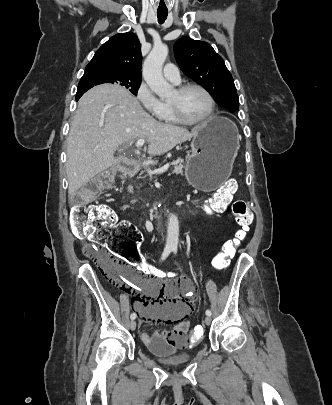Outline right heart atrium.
<instances>
[{"label":"right heart atrium","mask_w":332,"mask_h":405,"mask_svg":"<svg viewBox=\"0 0 332 405\" xmlns=\"http://www.w3.org/2000/svg\"><path fill=\"white\" fill-rule=\"evenodd\" d=\"M136 98L149 115L157 118L161 116L163 103L155 96L146 83L142 82L139 85L136 91Z\"/></svg>","instance_id":"1"}]
</instances>
